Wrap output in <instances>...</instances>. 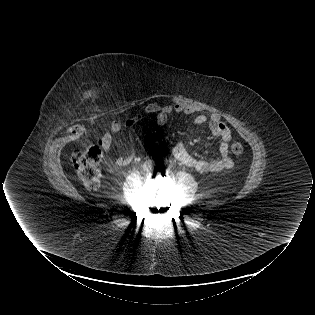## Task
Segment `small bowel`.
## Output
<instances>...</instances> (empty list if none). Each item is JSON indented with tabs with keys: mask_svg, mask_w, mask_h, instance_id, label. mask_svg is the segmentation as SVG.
<instances>
[{
	"mask_svg": "<svg viewBox=\"0 0 315 315\" xmlns=\"http://www.w3.org/2000/svg\"><path fill=\"white\" fill-rule=\"evenodd\" d=\"M193 112V109L183 104L158 105L156 103H150L144 109V114L152 115L158 125H164L167 122L169 115L173 113L190 115ZM141 118L142 114L139 113L124 122L113 120L109 125L108 131H106L102 137L104 152L110 153L113 135L118 134L123 127H131L141 120ZM205 124L208 125L212 135L221 140L218 148V158L211 160L196 158L190 154L182 144H178L172 149V155L177 161L189 168L195 169L199 173L219 172L224 169H231L234 166V162L229 154V142L232 137L229 128L220 120V116L216 113L210 115H197L193 119V126L195 128ZM131 161L132 157L130 155H122L115 160V166L123 167L130 164Z\"/></svg>",
	"mask_w": 315,
	"mask_h": 315,
	"instance_id": "1",
	"label": "small bowel"
}]
</instances>
